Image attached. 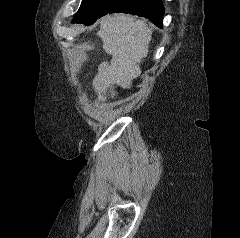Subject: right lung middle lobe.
<instances>
[{"mask_svg": "<svg viewBox=\"0 0 240 238\" xmlns=\"http://www.w3.org/2000/svg\"><path fill=\"white\" fill-rule=\"evenodd\" d=\"M122 0H82L73 22L86 25L94 23L97 18L109 13Z\"/></svg>", "mask_w": 240, "mask_h": 238, "instance_id": "right-lung-middle-lobe-1", "label": "right lung middle lobe"}]
</instances>
